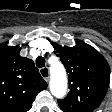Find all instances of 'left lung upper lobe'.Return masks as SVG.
<instances>
[{
    "instance_id": "obj_1",
    "label": "left lung upper lobe",
    "mask_w": 112,
    "mask_h": 112,
    "mask_svg": "<svg viewBox=\"0 0 112 112\" xmlns=\"http://www.w3.org/2000/svg\"><path fill=\"white\" fill-rule=\"evenodd\" d=\"M68 73L69 93L58 100L63 112H92L102 102L110 81L106 59L92 46L78 41L74 47L53 43Z\"/></svg>"
}]
</instances>
